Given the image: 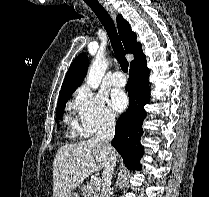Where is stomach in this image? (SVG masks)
Segmentation results:
<instances>
[{
	"label": "stomach",
	"instance_id": "obj_1",
	"mask_svg": "<svg viewBox=\"0 0 209 197\" xmlns=\"http://www.w3.org/2000/svg\"><path fill=\"white\" fill-rule=\"evenodd\" d=\"M65 197H79V195L75 192H71V193L67 194Z\"/></svg>",
	"mask_w": 209,
	"mask_h": 197
}]
</instances>
